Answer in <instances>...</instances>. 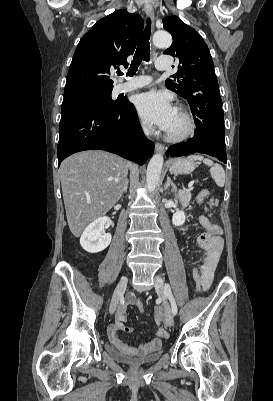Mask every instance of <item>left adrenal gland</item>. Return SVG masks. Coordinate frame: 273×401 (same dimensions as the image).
I'll use <instances>...</instances> for the list:
<instances>
[{
    "label": "left adrenal gland",
    "instance_id": "obj_1",
    "mask_svg": "<svg viewBox=\"0 0 273 401\" xmlns=\"http://www.w3.org/2000/svg\"><path fill=\"white\" fill-rule=\"evenodd\" d=\"M168 186H172L173 192H176L177 186H176L175 182H173V180H171L170 176H167V180L164 184V190H167Z\"/></svg>",
    "mask_w": 273,
    "mask_h": 401
}]
</instances>
